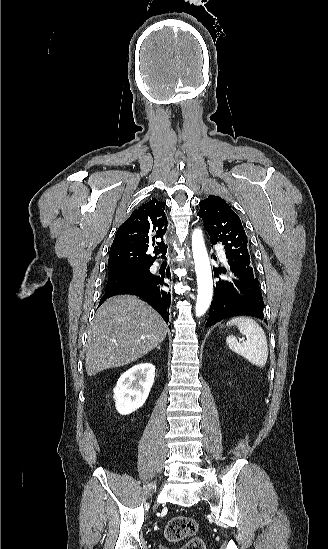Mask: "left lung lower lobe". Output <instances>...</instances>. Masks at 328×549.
I'll list each match as a JSON object with an SVG mask.
<instances>
[{
  "instance_id": "obj_1",
  "label": "left lung lower lobe",
  "mask_w": 328,
  "mask_h": 549,
  "mask_svg": "<svg viewBox=\"0 0 328 549\" xmlns=\"http://www.w3.org/2000/svg\"><path fill=\"white\" fill-rule=\"evenodd\" d=\"M229 271L214 268L216 277L221 272L228 274L227 280L216 283L206 327L234 316H252L264 319V302L258 279L250 271L228 261ZM266 321V320H264Z\"/></svg>"
}]
</instances>
